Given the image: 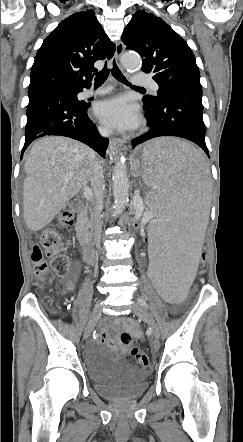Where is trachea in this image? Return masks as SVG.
I'll use <instances>...</instances> for the list:
<instances>
[{"instance_id": "1", "label": "trachea", "mask_w": 243, "mask_h": 442, "mask_svg": "<svg viewBox=\"0 0 243 442\" xmlns=\"http://www.w3.org/2000/svg\"><path fill=\"white\" fill-rule=\"evenodd\" d=\"M111 72L113 77L118 81L122 82L123 84L133 88L144 89L143 87L133 86L131 83H129L125 78V76L120 71V69L118 68V66L116 65L115 60L113 61V68L111 69ZM109 73L110 69L107 68V62H106L102 71L96 73L95 85H102L107 80Z\"/></svg>"}]
</instances>
